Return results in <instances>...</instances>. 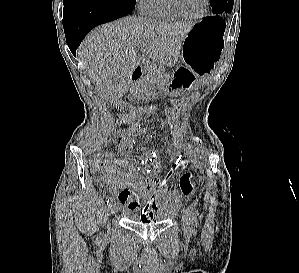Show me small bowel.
Instances as JSON below:
<instances>
[{
	"label": "small bowel",
	"instance_id": "obj_1",
	"mask_svg": "<svg viewBox=\"0 0 299 273\" xmlns=\"http://www.w3.org/2000/svg\"><path fill=\"white\" fill-rule=\"evenodd\" d=\"M133 133L124 136L120 147L123 154L134 146ZM143 163L150 172L163 167L164 156L156 151L142 148ZM108 175L98 182L114 194L126 211L134 212L143 220H150L159 209L173 211L180 203L179 194L170 190L166 181L155 176H144L134 164L119 162L112 153L107 156Z\"/></svg>",
	"mask_w": 299,
	"mask_h": 273
}]
</instances>
